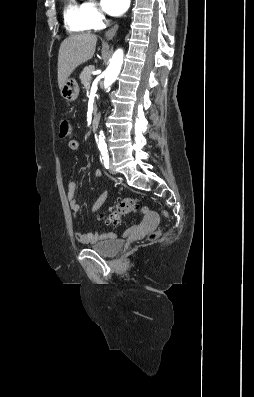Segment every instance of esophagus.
Listing matches in <instances>:
<instances>
[{
	"label": "esophagus",
	"instance_id": "obj_1",
	"mask_svg": "<svg viewBox=\"0 0 254 397\" xmlns=\"http://www.w3.org/2000/svg\"><path fill=\"white\" fill-rule=\"evenodd\" d=\"M117 30H118V25L113 26L111 29H109V30L106 32V38H107L108 40L112 39V38L115 36Z\"/></svg>",
	"mask_w": 254,
	"mask_h": 397
}]
</instances>
